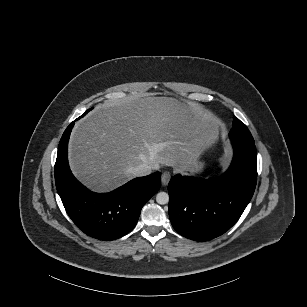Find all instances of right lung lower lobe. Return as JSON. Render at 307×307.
Listing matches in <instances>:
<instances>
[{"mask_svg": "<svg viewBox=\"0 0 307 307\" xmlns=\"http://www.w3.org/2000/svg\"><path fill=\"white\" fill-rule=\"evenodd\" d=\"M73 125L74 122L67 127L58 146L55 164L58 194L69 217L84 233L100 240L120 238L135 227L141 208L160 189L161 174L133 179L110 193L89 191L75 179L68 164V141Z\"/></svg>", "mask_w": 307, "mask_h": 307, "instance_id": "1", "label": "right lung lower lobe"}]
</instances>
